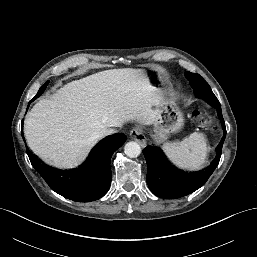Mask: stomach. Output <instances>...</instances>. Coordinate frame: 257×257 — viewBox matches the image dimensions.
<instances>
[{
  "label": "stomach",
  "instance_id": "stomach-1",
  "mask_svg": "<svg viewBox=\"0 0 257 257\" xmlns=\"http://www.w3.org/2000/svg\"><path fill=\"white\" fill-rule=\"evenodd\" d=\"M144 73L151 84L163 81L165 76L164 70L155 65L149 66ZM157 109L158 115L150 134L157 143H163L183 128L184 116L177 104L169 98H163Z\"/></svg>",
  "mask_w": 257,
  "mask_h": 257
}]
</instances>
